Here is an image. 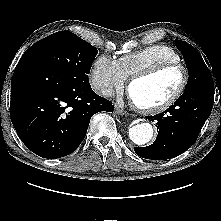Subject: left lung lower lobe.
<instances>
[{
  "instance_id": "1",
  "label": "left lung lower lobe",
  "mask_w": 221,
  "mask_h": 221,
  "mask_svg": "<svg viewBox=\"0 0 221 221\" xmlns=\"http://www.w3.org/2000/svg\"><path fill=\"white\" fill-rule=\"evenodd\" d=\"M214 83L183 93L166 111L147 116L156 122L158 135L153 144L135 147L137 155L152 160H166L184 153L196 141L212 111Z\"/></svg>"
}]
</instances>
